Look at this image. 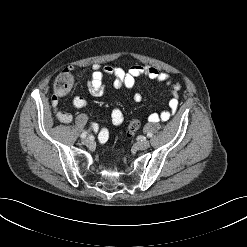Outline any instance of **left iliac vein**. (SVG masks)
<instances>
[{
	"mask_svg": "<svg viewBox=\"0 0 247 247\" xmlns=\"http://www.w3.org/2000/svg\"><path fill=\"white\" fill-rule=\"evenodd\" d=\"M150 143L148 140H143L137 143V147L140 150H146L147 148H149Z\"/></svg>",
	"mask_w": 247,
	"mask_h": 247,
	"instance_id": "obj_1",
	"label": "left iliac vein"
}]
</instances>
